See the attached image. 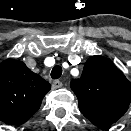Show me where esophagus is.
Returning a JSON list of instances; mask_svg holds the SVG:
<instances>
[{
    "instance_id": "34e87169",
    "label": "esophagus",
    "mask_w": 131,
    "mask_h": 131,
    "mask_svg": "<svg viewBox=\"0 0 131 131\" xmlns=\"http://www.w3.org/2000/svg\"><path fill=\"white\" fill-rule=\"evenodd\" d=\"M63 86L62 82L60 80H55L52 83V88L53 89H58L61 88Z\"/></svg>"
}]
</instances>
